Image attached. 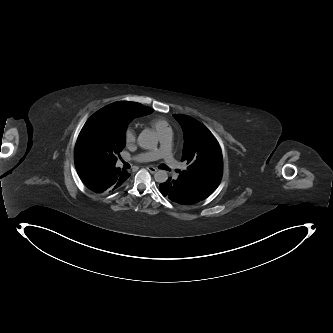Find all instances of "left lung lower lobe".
I'll use <instances>...</instances> for the list:
<instances>
[{"mask_svg": "<svg viewBox=\"0 0 333 333\" xmlns=\"http://www.w3.org/2000/svg\"><path fill=\"white\" fill-rule=\"evenodd\" d=\"M160 192L169 200L182 205L195 204L203 200L189 188L171 177L160 184Z\"/></svg>", "mask_w": 333, "mask_h": 333, "instance_id": "left-lung-lower-lobe-1", "label": "left lung lower lobe"}]
</instances>
